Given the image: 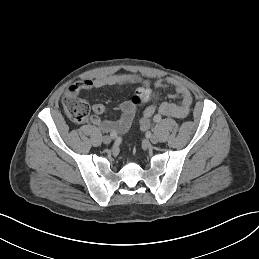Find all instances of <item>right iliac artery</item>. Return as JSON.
<instances>
[{"mask_svg":"<svg viewBox=\"0 0 259 259\" xmlns=\"http://www.w3.org/2000/svg\"><path fill=\"white\" fill-rule=\"evenodd\" d=\"M110 137L115 139V138H117V134L115 132H111L110 133Z\"/></svg>","mask_w":259,"mask_h":259,"instance_id":"right-iliac-artery-1","label":"right iliac artery"}]
</instances>
